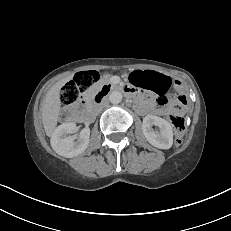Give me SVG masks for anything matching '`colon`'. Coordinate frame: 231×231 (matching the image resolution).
<instances>
[{
    "label": "colon",
    "mask_w": 231,
    "mask_h": 231,
    "mask_svg": "<svg viewBox=\"0 0 231 231\" xmlns=\"http://www.w3.org/2000/svg\"><path fill=\"white\" fill-rule=\"evenodd\" d=\"M100 74L96 71H86L75 76L73 81L67 83L61 91V102L64 106H70L77 101V99L91 88L96 82L100 80ZM144 77L137 72L132 74V81L137 86L143 84ZM167 99L162 97L158 100L159 106H165ZM175 107L185 109L187 107L186 96L180 95L176 99ZM171 123L175 130V143L180 145L182 143L184 131H185V119L177 114L170 116Z\"/></svg>",
    "instance_id": "1"
}]
</instances>
